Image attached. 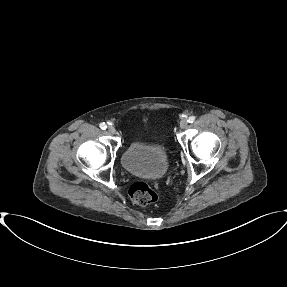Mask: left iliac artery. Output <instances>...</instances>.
Here are the masks:
<instances>
[{
    "mask_svg": "<svg viewBox=\"0 0 287 287\" xmlns=\"http://www.w3.org/2000/svg\"><path fill=\"white\" fill-rule=\"evenodd\" d=\"M195 121V116H190L189 118H188V122L189 123H193Z\"/></svg>",
    "mask_w": 287,
    "mask_h": 287,
    "instance_id": "1",
    "label": "left iliac artery"
}]
</instances>
